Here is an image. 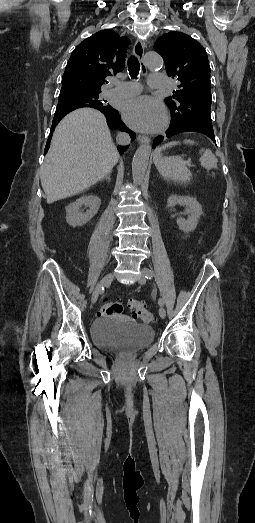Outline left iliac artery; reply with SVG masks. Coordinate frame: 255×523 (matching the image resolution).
<instances>
[{"label": "left iliac artery", "mask_w": 255, "mask_h": 523, "mask_svg": "<svg viewBox=\"0 0 255 523\" xmlns=\"http://www.w3.org/2000/svg\"><path fill=\"white\" fill-rule=\"evenodd\" d=\"M143 271H144V275H145V278H146V279H149V280L152 279V277H153V272H152L150 269H148V268H144ZM158 304H159L160 306H163V305H164V301H163L162 298H159V300H158Z\"/></svg>", "instance_id": "44dca946"}]
</instances>
